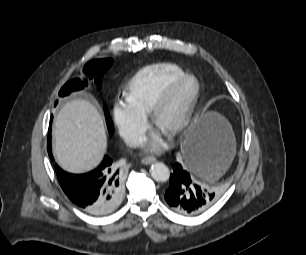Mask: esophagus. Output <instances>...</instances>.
Wrapping results in <instances>:
<instances>
[{
	"label": "esophagus",
	"mask_w": 306,
	"mask_h": 255,
	"mask_svg": "<svg viewBox=\"0 0 306 255\" xmlns=\"http://www.w3.org/2000/svg\"><path fill=\"white\" fill-rule=\"evenodd\" d=\"M156 161V159L152 156H147V157H144L142 159V164L144 165H150L152 163H154Z\"/></svg>",
	"instance_id": "esophagus-1"
}]
</instances>
